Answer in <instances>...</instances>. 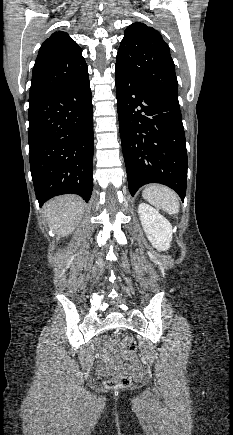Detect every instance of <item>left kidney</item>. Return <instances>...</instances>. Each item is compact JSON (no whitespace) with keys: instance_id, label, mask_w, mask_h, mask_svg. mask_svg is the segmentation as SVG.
<instances>
[{"instance_id":"left-kidney-1","label":"left kidney","mask_w":233,"mask_h":435,"mask_svg":"<svg viewBox=\"0 0 233 435\" xmlns=\"http://www.w3.org/2000/svg\"><path fill=\"white\" fill-rule=\"evenodd\" d=\"M138 214L148 240L159 251L170 248L172 241V226L170 222L155 208L146 203L138 207Z\"/></svg>"}]
</instances>
